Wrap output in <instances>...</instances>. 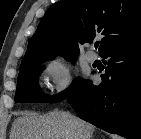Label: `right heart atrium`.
Returning a JSON list of instances; mask_svg holds the SVG:
<instances>
[{"instance_id":"d8ad5b80","label":"right heart atrium","mask_w":141,"mask_h":139,"mask_svg":"<svg viewBox=\"0 0 141 139\" xmlns=\"http://www.w3.org/2000/svg\"><path fill=\"white\" fill-rule=\"evenodd\" d=\"M42 74L51 98H61L71 90L74 76L66 63L50 60L43 66Z\"/></svg>"}]
</instances>
